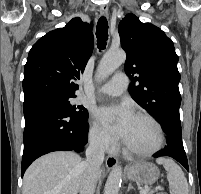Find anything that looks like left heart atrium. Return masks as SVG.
I'll use <instances>...</instances> for the list:
<instances>
[{"label":"left heart atrium","instance_id":"left-heart-atrium-1","mask_svg":"<svg viewBox=\"0 0 201 194\" xmlns=\"http://www.w3.org/2000/svg\"><path fill=\"white\" fill-rule=\"evenodd\" d=\"M95 116L109 132L125 139L135 117L128 104L101 106L95 110Z\"/></svg>","mask_w":201,"mask_h":194}]
</instances>
